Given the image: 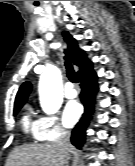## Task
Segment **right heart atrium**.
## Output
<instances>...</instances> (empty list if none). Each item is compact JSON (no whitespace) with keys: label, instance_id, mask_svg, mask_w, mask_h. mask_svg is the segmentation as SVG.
I'll return each instance as SVG.
<instances>
[{"label":"right heart atrium","instance_id":"right-heart-atrium-1","mask_svg":"<svg viewBox=\"0 0 135 166\" xmlns=\"http://www.w3.org/2000/svg\"><path fill=\"white\" fill-rule=\"evenodd\" d=\"M39 140H57L66 134L60 125L58 118L54 115H43L39 118Z\"/></svg>","mask_w":135,"mask_h":166}]
</instances>
